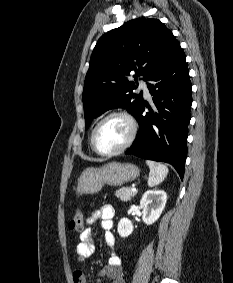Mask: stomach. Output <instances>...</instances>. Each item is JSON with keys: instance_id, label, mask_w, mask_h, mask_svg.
<instances>
[{"instance_id": "1", "label": "stomach", "mask_w": 233, "mask_h": 283, "mask_svg": "<svg viewBox=\"0 0 233 283\" xmlns=\"http://www.w3.org/2000/svg\"><path fill=\"white\" fill-rule=\"evenodd\" d=\"M140 174L137 166L131 163L110 162L100 168H86L78 178L77 194H95L104 185L121 186L135 180Z\"/></svg>"}]
</instances>
